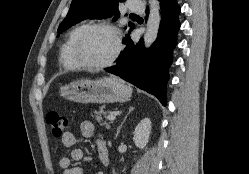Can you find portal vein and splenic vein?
Segmentation results:
<instances>
[{
  "instance_id": "18ae733b",
  "label": "portal vein and splenic vein",
  "mask_w": 249,
  "mask_h": 174,
  "mask_svg": "<svg viewBox=\"0 0 249 174\" xmlns=\"http://www.w3.org/2000/svg\"><path fill=\"white\" fill-rule=\"evenodd\" d=\"M107 118H108V120L113 121L116 119V115L113 113H110Z\"/></svg>"
}]
</instances>
